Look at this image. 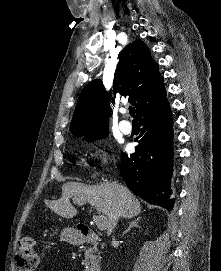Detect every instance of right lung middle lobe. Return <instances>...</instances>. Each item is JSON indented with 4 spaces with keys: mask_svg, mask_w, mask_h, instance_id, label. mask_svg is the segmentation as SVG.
I'll return each instance as SVG.
<instances>
[{
    "mask_svg": "<svg viewBox=\"0 0 221 271\" xmlns=\"http://www.w3.org/2000/svg\"><path fill=\"white\" fill-rule=\"evenodd\" d=\"M108 134H109V131L105 130V131H101V132H96V133H91V134L84 135V139L91 142V141H94L96 139L105 138V137L108 136Z\"/></svg>",
    "mask_w": 221,
    "mask_h": 271,
    "instance_id": "dd1d6c3e",
    "label": "right lung middle lobe"
}]
</instances>
